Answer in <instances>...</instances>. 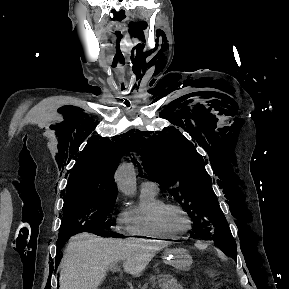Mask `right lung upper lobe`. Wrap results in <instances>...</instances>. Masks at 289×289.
I'll list each match as a JSON object with an SVG mask.
<instances>
[{"label":"right lung upper lobe","mask_w":289,"mask_h":289,"mask_svg":"<svg viewBox=\"0 0 289 289\" xmlns=\"http://www.w3.org/2000/svg\"><path fill=\"white\" fill-rule=\"evenodd\" d=\"M127 146L122 142L99 140V137L89 140L70 173L64 198L117 194L113 176Z\"/></svg>","instance_id":"1"}]
</instances>
